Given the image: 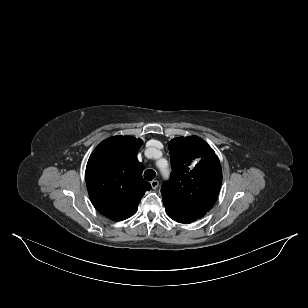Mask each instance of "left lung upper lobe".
<instances>
[{
    "instance_id": "5c2ea615",
    "label": "left lung upper lobe",
    "mask_w": 308,
    "mask_h": 308,
    "mask_svg": "<svg viewBox=\"0 0 308 308\" xmlns=\"http://www.w3.org/2000/svg\"><path fill=\"white\" fill-rule=\"evenodd\" d=\"M172 173L161 194L165 210L179 223H192L214 205L222 181L219 159L211 147L197 136L170 141Z\"/></svg>"
}]
</instances>
